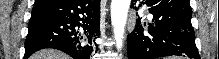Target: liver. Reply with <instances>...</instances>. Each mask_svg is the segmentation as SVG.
Listing matches in <instances>:
<instances>
[{"label":"liver","mask_w":219,"mask_h":59,"mask_svg":"<svg viewBox=\"0 0 219 59\" xmlns=\"http://www.w3.org/2000/svg\"><path fill=\"white\" fill-rule=\"evenodd\" d=\"M30 59H70V57L58 50L44 49L30 56Z\"/></svg>","instance_id":"obj_1"}]
</instances>
